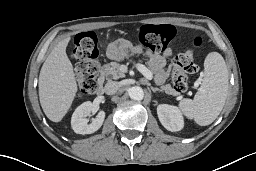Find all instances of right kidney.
I'll list each match as a JSON object with an SVG mask.
<instances>
[{
	"label": "right kidney",
	"instance_id": "1",
	"mask_svg": "<svg viewBox=\"0 0 256 171\" xmlns=\"http://www.w3.org/2000/svg\"><path fill=\"white\" fill-rule=\"evenodd\" d=\"M94 112L93 104L90 101L82 103L76 108L71 118V126L77 134H91L96 132L103 124L105 119V112L99 111L96 118L88 124L86 116Z\"/></svg>",
	"mask_w": 256,
	"mask_h": 171
}]
</instances>
